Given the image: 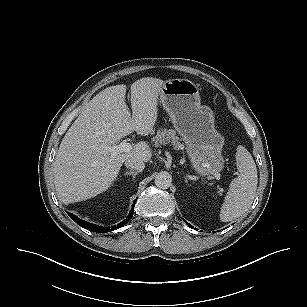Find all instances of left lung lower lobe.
I'll list each match as a JSON object with an SVG mask.
<instances>
[{
	"instance_id": "1",
	"label": "left lung lower lobe",
	"mask_w": 307,
	"mask_h": 307,
	"mask_svg": "<svg viewBox=\"0 0 307 307\" xmlns=\"http://www.w3.org/2000/svg\"><path fill=\"white\" fill-rule=\"evenodd\" d=\"M186 224H188V222H186V221H184ZM191 228H193L190 224H188ZM195 230H197L196 228H195Z\"/></svg>"
}]
</instances>
